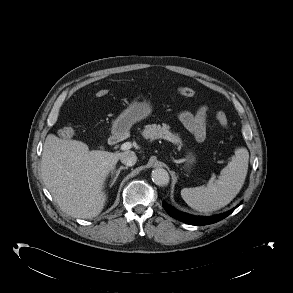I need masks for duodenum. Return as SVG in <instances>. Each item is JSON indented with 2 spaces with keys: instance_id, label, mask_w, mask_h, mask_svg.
<instances>
[{
  "instance_id": "obj_1",
  "label": "duodenum",
  "mask_w": 293,
  "mask_h": 293,
  "mask_svg": "<svg viewBox=\"0 0 293 293\" xmlns=\"http://www.w3.org/2000/svg\"><path fill=\"white\" fill-rule=\"evenodd\" d=\"M126 132L123 130H116L109 138L110 145H118L126 139Z\"/></svg>"
}]
</instances>
